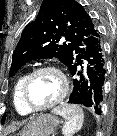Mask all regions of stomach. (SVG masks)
Segmentation results:
<instances>
[{
    "label": "stomach",
    "mask_w": 117,
    "mask_h": 136,
    "mask_svg": "<svg viewBox=\"0 0 117 136\" xmlns=\"http://www.w3.org/2000/svg\"><path fill=\"white\" fill-rule=\"evenodd\" d=\"M59 124L57 117L42 114L30 121L17 136H50Z\"/></svg>",
    "instance_id": "0dacf381"
}]
</instances>
